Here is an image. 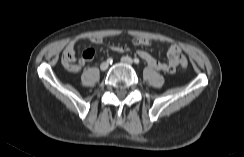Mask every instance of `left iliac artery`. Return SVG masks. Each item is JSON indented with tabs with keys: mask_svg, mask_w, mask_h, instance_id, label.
<instances>
[{
	"mask_svg": "<svg viewBox=\"0 0 244 157\" xmlns=\"http://www.w3.org/2000/svg\"><path fill=\"white\" fill-rule=\"evenodd\" d=\"M134 62H135L136 64H139V63H140V60H139L138 58H135V59H134Z\"/></svg>",
	"mask_w": 244,
	"mask_h": 157,
	"instance_id": "left-iliac-artery-1",
	"label": "left iliac artery"
}]
</instances>
